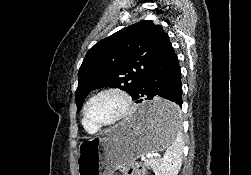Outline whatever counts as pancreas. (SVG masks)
Listing matches in <instances>:
<instances>
[{"instance_id": "obj_1", "label": "pancreas", "mask_w": 251, "mask_h": 175, "mask_svg": "<svg viewBox=\"0 0 251 175\" xmlns=\"http://www.w3.org/2000/svg\"><path fill=\"white\" fill-rule=\"evenodd\" d=\"M145 165H151L150 159H147V161H144Z\"/></svg>"}]
</instances>
